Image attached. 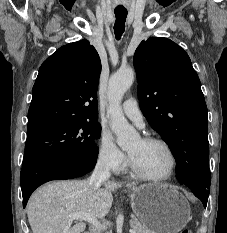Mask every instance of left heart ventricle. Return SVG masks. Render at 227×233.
Segmentation results:
<instances>
[{"mask_svg":"<svg viewBox=\"0 0 227 233\" xmlns=\"http://www.w3.org/2000/svg\"><path fill=\"white\" fill-rule=\"evenodd\" d=\"M127 151L135 165L146 174L162 176L171 167V158L167 150L159 144L145 143L138 139Z\"/></svg>","mask_w":227,"mask_h":233,"instance_id":"obj_1","label":"left heart ventricle"}]
</instances>
